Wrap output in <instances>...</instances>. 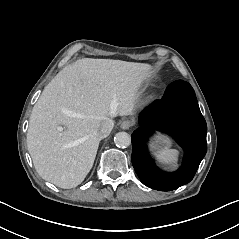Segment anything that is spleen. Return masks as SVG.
Here are the masks:
<instances>
[{
    "label": "spleen",
    "instance_id": "obj_1",
    "mask_svg": "<svg viewBox=\"0 0 239 239\" xmlns=\"http://www.w3.org/2000/svg\"><path fill=\"white\" fill-rule=\"evenodd\" d=\"M157 156L166 164L174 165L177 160V151L174 149H162L157 153Z\"/></svg>",
    "mask_w": 239,
    "mask_h": 239
}]
</instances>
